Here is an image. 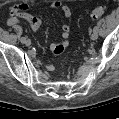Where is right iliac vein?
Wrapping results in <instances>:
<instances>
[{
    "label": "right iliac vein",
    "instance_id": "obj_1",
    "mask_svg": "<svg viewBox=\"0 0 119 119\" xmlns=\"http://www.w3.org/2000/svg\"><path fill=\"white\" fill-rule=\"evenodd\" d=\"M26 46H30L31 45V41L29 39H25V41L23 42Z\"/></svg>",
    "mask_w": 119,
    "mask_h": 119
}]
</instances>
